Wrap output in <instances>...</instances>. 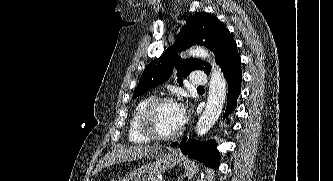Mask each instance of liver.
I'll return each instance as SVG.
<instances>
[{"mask_svg": "<svg viewBox=\"0 0 333 181\" xmlns=\"http://www.w3.org/2000/svg\"><path fill=\"white\" fill-rule=\"evenodd\" d=\"M160 148L156 146H130V147H119L113 151L107 153L97 164L93 174L96 175L103 168L111 166L116 163L133 161L142 159L146 156H151L156 150Z\"/></svg>", "mask_w": 333, "mask_h": 181, "instance_id": "liver-1", "label": "liver"}]
</instances>
